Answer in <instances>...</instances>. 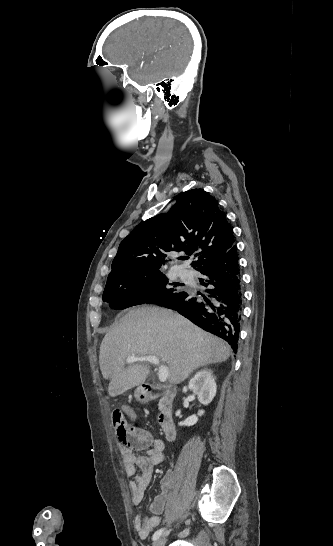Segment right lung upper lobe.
I'll return each instance as SVG.
<instances>
[{
    "mask_svg": "<svg viewBox=\"0 0 333 546\" xmlns=\"http://www.w3.org/2000/svg\"><path fill=\"white\" fill-rule=\"evenodd\" d=\"M234 244L231 226L217 201L203 189L182 193L166 214L141 222L121 242L112 270H159L169 251L196 250V270L221 258Z\"/></svg>",
    "mask_w": 333,
    "mask_h": 546,
    "instance_id": "obj_1",
    "label": "right lung upper lobe"
}]
</instances>
